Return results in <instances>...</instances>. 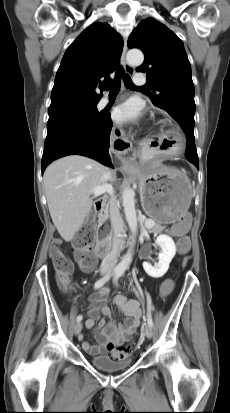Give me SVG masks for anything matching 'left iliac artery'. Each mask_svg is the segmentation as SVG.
Returning <instances> with one entry per match:
<instances>
[{
    "label": "left iliac artery",
    "instance_id": "1",
    "mask_svg": "<svg viewBox=\"0 0 230 413\" xmlns=\"http://www.w3.org/2000/svg\"><path fill=\"white\" fill-rule=\"evenodd\" d=\"M123 274H124V271H123V270H118V271H116V273H115V275H114V279H113V281H114V283H115L116 285H117V282H118L119 277H121ZM146 296H147V303H148L147 323H148V325H149L150 327H153V320H152V316H151V312H150V309H151V298H150V295H149L148 293L146 294Z\"/></svg>",
    "mask_w": 230,
    "mask_h": 413
}]
</instances>
